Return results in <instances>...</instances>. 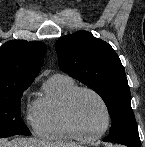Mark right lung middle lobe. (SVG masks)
<instances>
[{
	"mask_svg": "<svg viewBox=\"0 0 145 147\" xmlns=\"http://www.w3.org/2000/svg\"><path fill=\"white\" fill-rule=\"evenodd\" d=\"M29 86L14 87L0 92V138L31 135L21 119V97Z\"/></svg>",
	"mask_w": 145,
	"mask_h": 147,
	"instance_id": "dd1d6c3e",
	"label": "right lung middle lobe"
}]
</instances>
